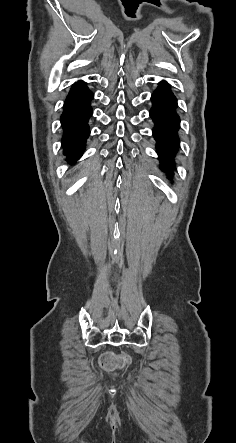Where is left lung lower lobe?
Returning <instances> with one entry per match:
<instances>
[{
  "label": "left lung lower lobe",
  "instance_id": "obj_1",
  "mask_svg": "<svg viewBox=\"0 0 236 443\" xmlns=\"http://www.w3.org/2000/svg\"><path fill=\"white\" fill-rule=\"evenodd\" d=\"M151 100L153 107L150 116L155 122L153 133L157 141V153L162 169L169 172L173 168V157L179 147L177 130L180 119L176 114L177 101L165 81L159 84Z\"/></svg>",
  "mask_w": 236,
  "mask_h": 443
}]
</instances>
